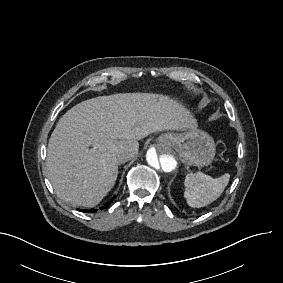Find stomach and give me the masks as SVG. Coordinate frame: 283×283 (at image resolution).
<instances>
[{
  "label": "stomach",
  "instance_id": "stomach-1",
  "mask_svg": "<svg viewBox=\"0 0 283 283\" xmlns=\"http://www.w3.org/2000/svg\"><path fill=\"white\" fill-rule=\"evenodd\" d=\"M159 146L177 151L182 162L198 167L208 166L215 157L213 138L203 130H188L181 133L168 132L157 138Z\"/></svg>",
  "mask_w": 283,
  "mask_h": 283
}]
</instances>
